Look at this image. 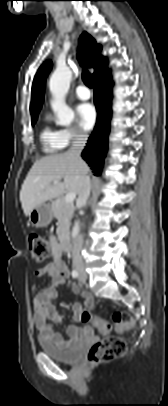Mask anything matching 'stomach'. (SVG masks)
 <instances>
[{"label":"stomach","instance_id":"1","mask_svg":"<svg viewBox=\"0 0 168 406\" xmlns=\"http://www.w3.org/2000/svg\"><path fill=\"white\" fill-rule=\"evenodd\" d=\"M53 218V209L50 204H40L29 214V221L35 227L47 226Z\"/></svg>","mask_w":168,"mask_h":406}]
</instances>
